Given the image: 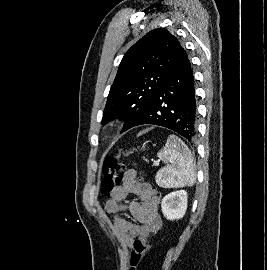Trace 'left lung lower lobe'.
Returning <instances> with one entry per match:
<instances>
[{"mask_svg":"<svg viewBox=\"0 0 267 270\" xmlns=\"http://www.w3.org/2000/svg\"><path fill=\"white\" fill-rule=\"evenodd\" d=\"M196 120L192 68L186 51L181 47L169 75L134 126H163L177 132L193 144L196 137Z\"/></svg>","mask_w":267,"mask_h":270,"instance_id":"obj_1","label":"left lung lower lobe"}]
</instances>
